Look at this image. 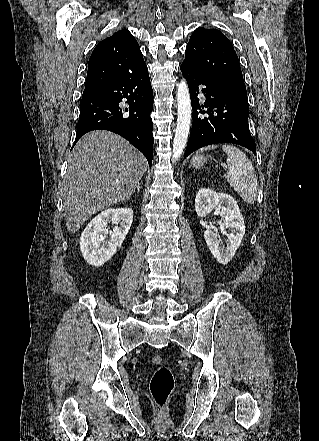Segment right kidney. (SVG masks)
<instances>
[{"label":"right kidney","instance_id":"1","mask_svg":"<svg viewBox=\"0 0 319 441\" xmlns=\"http://www.w3.org/2000/svg\"><path fill=\"white\" fill-rule=\"evenodd\" d=\"M133 221V210L127 207L108 209L86 226L80 237V250L90 265L99 267L112 258L121 247ZM115 224L108 231V224ZM109 233L110 239H106Z\"/></svg>","mask_w":319,"mask_h":441}]
</instances>
